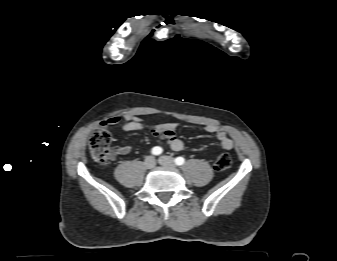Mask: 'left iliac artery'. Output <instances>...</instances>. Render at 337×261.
<instances>
[{
	"label": "left iliac artery",
	"instance_id": "44dca946",
	"mask_svg": "<svg viewBox=\"0 0 337 261\" xmlns=\"http://www.w3.org/2000/svg\"><path fill=\"white\" fill-rule=\"evenodd\" d=\"M184 162H185V159L183 158V157H177L176 159H175V163H176V165H183L184 164Z\"/></svg>",
	"mask_w": 337,
	"mask_h": 261
}]
</instances>
